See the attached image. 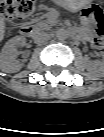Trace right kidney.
<instances>
[{
    "label": "right kidney",
    "mask_w": 104,
    "mask_h": 137,
    "mask_svg": "<svg viewBox=\"0 0 104 137\" xmlns=\"http://www.w3.org/2000/svg\"><path fill=\"white\" fill-rule=\"evenodd\" d=\"M26 38L15 36L10 39L2 48L0 53V69L5 73H15L22 68V64L16 59L18 54L17 48L24 46Z\"/></svg>",
    "instance_id": "obj_1"
}]
</instances>
